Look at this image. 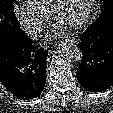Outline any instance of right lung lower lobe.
Masks as SVG:
<instances>
[{
	"instance_id": "1",
	"label": "right lung lower lobe",
	"mask_w": 113,
	"mask_h": 113,
	"mask_svg": "<svg viewBox=\"0 0 113 113\" xmlns=\"http://www.w3.org/2000/svg\"><path fill=\"white\" fill-rule=\"evenodd\" d=\"M48 52L38 48L19 26L0 37V82L16 97H38L46 83Z\"/></svg>"
}]
</instances>
